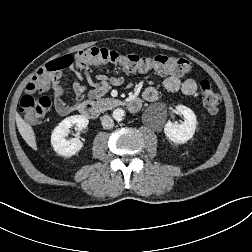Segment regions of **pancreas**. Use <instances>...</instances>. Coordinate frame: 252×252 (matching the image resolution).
Listing matches in <instances>:
<instances>
[{
	"label": "pancreas",
	"mask_w": 252,
	"mask_h": 252,
	"mask_svg": "<svg viewBox=\"0 0 252 252\" xmlns=\"http://www.w3.org/2000/svg\"><path fill=\"white\" fill-rule=\"evenodd\" d=\"M119 104H120V101L113 98H105V99L102 98V99H98L96 102V105L101 112L110 110Z\"/></svg>",
	"instance_id": "obj_1"
}]
</instances>
